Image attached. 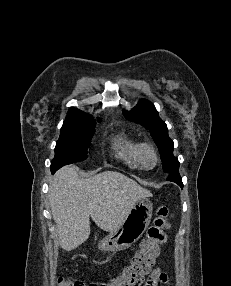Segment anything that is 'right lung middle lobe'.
Returning a JSON list of instances; mask_svg holds the SVG:
<instances>
[{
	"label": "right lung middle lobe",
	"mask_w": 231,
	"mask_h": 286,
	"mask_svg": "<svg viewBox=\"0 0 231 286\" xmlns=\"http://www.w3.org/2000/svg\"><path fill=\"white\" fill-rule=\"evenodd\" d=\"M94 133L93 119L90 116H67L55 147V158L51 168L55 170L87 158Z\"/></svg>",
	"instance_id": "right-lung-middle-lobe-1"
}]
</instances>
